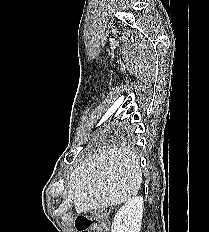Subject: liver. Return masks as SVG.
Listing matches in <instances>:
<instances>
[{
	"mask_svg": "<svg viewBox=\"0 0 209 232\" xmlns=\"http://www.w3.org/2000/svg\"><path fill=\"white\" fill-rule=\"evenodd\" d=\"M142 183L139 157L130 149H103L89 153L74 168L67 183V197L77 213L127 202Z\"/></svg>",
	"mask_w": 209,
	"mask_h": 232,
	"instance_id": "liver-1",
	"label": "liver"
}]
</instances>
